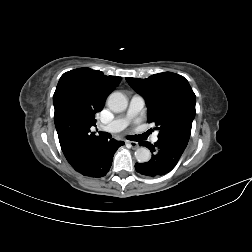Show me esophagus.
Instances as JSON below:
<instances>
[{"label": "esophagus", "mask_w": 252, "mask_h": 252, "mask_svg": "<svg viewBox=\"0 0 252 252\" xmlns=\"http://www.w3.org/2000/svg\"><path fill=\"white\" fill-rule=\"evenodd\" d=\"M128 144L133 148L136 149L139 145L137 142L135 141H128Z\"/></svg>", "instance_id": "obj_1"}]
</instances>
